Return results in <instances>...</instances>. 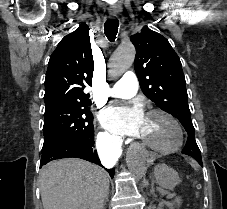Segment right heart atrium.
Segmentation results:
<instances>
[{"instance_id":"obj_1","label":"right heart atrium","mask_w":227,"mask_h":209,"mask_svg":"<svg viewBox=\"0 0 227 209\" xmlns=\"http://www.w3.org/2000/svg\"><path fill=\"white\" fill-rule=\"evenodd\" d=\"M96 144L100 153L115 155L121 151L123 140L118 134L105 130L98 133Z\"/></svg>"}]
</instances>
